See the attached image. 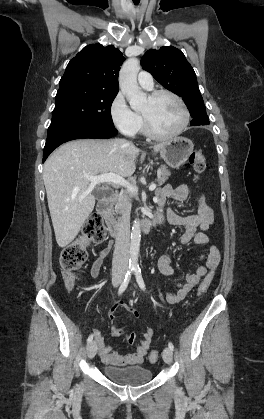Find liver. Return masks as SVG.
<instances>
[{
  "label": "liver",
  "mask_w": 264,
  "mask_h": 419,
  "mask_svg": "<svg viewBox=\"0 0 264 419\" xmlns=\"http://www.w3.org/2000/svg\"><path fill=\"white\" fill-rule=\"evenodd\" d=\"M163 144L153 147L158 152ZM140 149L124 139H81L55 150L44 164L43 180L56 241L63 248L78 235L95 206L85 176L112 172L130 177Z\"/></svg>",
  "instance_id": "liver-1"
}]
</instances>
